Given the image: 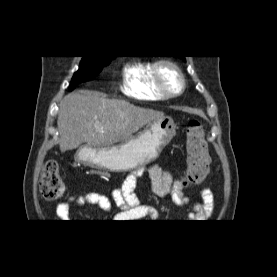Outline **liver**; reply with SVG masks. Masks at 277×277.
I'll use <instances>...</instances> for the list:
<instances>
[{
	"instance_id": "6515ba94",
	"label": "liver",
	"mask_w": 277,
	"mask_h": 277,
	"mask_svg": "<svg viewBox=\"0 0 277 277\" xmlns=\"http://www.w3.org/2000/svg\"><path fill=\"white\" fill-rule=\"evenodd\" d=\"M163 117V112L124 100L107 99L99 92H73L60 103L57 120L60 150H72L83 143L93 147L110 146Z\"/></svg>"
}]
</instances>
